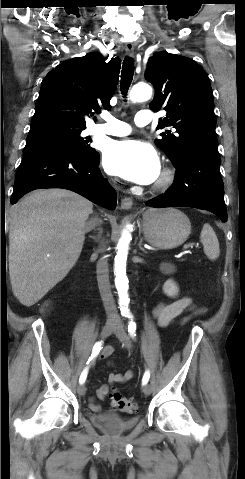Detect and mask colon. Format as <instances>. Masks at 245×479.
Instances as JSON below:
<instances>
[{
    "label": "colon",
    "mask_w": 245,
    "mask_h": 479,
    "mask_svg": "<svg viewBox=\"0 0 245 479\" xmlns=\"http://www.w3.org/2000/svg\"><path fill=\"white\" fill-rule=\"evenodd\" d=\"M113 406L121 412L131 413L136 410V403L124 397L119 391L112 389L109 392Z\"/></svg>",
    "instance_id": "1"
}]
</instances>
